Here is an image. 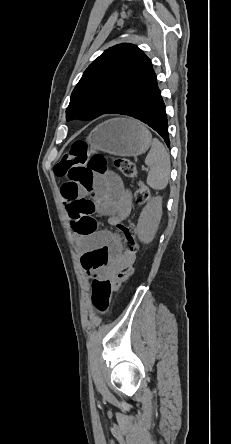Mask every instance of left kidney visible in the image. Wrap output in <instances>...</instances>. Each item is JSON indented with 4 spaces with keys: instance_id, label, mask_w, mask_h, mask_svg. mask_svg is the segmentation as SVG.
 I'll return each instance as SVG.
<instances>
[{
    "instance_id": "5707ae66",
    "label": "left kidney",
    "mask_w": 231,
    "mask_h": 444,
    "mask_svg": "<svg viewBox=\"0 0 231 444\" xmlns=\"http://www.w3.org/2000/svg\"><path fill=\"white\" fill-rule=\"evenodd\" d=\"M162 216V198L154 197L143 208L138 224L137 235L141 242L150 243L158 230Z\"/></svg>"
}]
</instances>
